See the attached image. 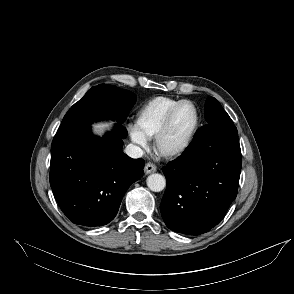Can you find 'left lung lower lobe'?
Returning a JSON list of instances; mask_svg holds the SVG:
<instances>
[{"label":"left lung lower lobe","instance_id":"0a47b994","mask_svg":"<svg viewBox=\"0 0 294 294\" xmlns=\"http://www.w3.org/2000/svg\"><path fill=\"white\" fill-rule=\"evenodd\" d=\"M241 166L233 123L201 127L182 155L162 169L167 187L161 214L167 227L189 235L210 231L236 198Z\"/></svg>","mask_w":294,"mask_h":294}]
</instances>
